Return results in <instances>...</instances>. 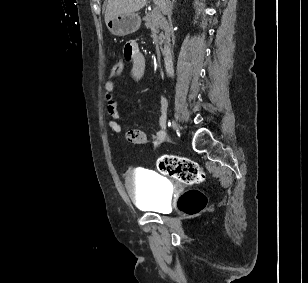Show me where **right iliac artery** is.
<instances>
[{
	"instance_id": "obj_1",
	"label": "right iliac artery",
	"mask_w": 308,
	"mask_h": 283,
	"mask_svg": "<svg viewBox=\"0 0 308 283\" xmlns=\"http://www.w3.org/2000/svg\"><path fill=\"white\" fill-rule=\"evenodd\" d=\"M168 126H169V127L171 126V122L168 123Z\"/></svg>"
}]
</instances>
